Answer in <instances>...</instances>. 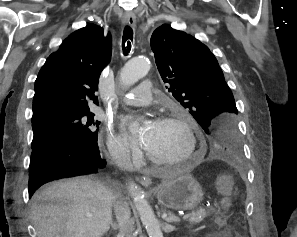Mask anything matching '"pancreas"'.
Instances as JSON below:
<instances>
[{"instance_id": "pancreas-1", "label": "pancreas", "mask_w": 297, "mask_h": 237, "mask_svg": "<svg viewBox=\"0 0 297 237\" xmlns=\"http://www.w3.org/2000/svg\"><path fill=\"white\" fill-rule=\"evenodd\" d=\"M209 214V211L206 210L205 208H199L196 211H192L190 214H188V218L186 220L190 224H196L201 221Z\"/></svg>"}]
</instances>
